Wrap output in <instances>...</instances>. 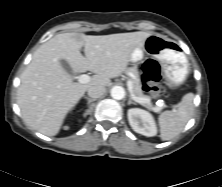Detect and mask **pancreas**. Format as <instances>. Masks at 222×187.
Instances as JSON below:
<instances>
[{
    "label": "pancreas",
    "instance_id": "cf45deb5",
    "mask_svg": "<svg viewBox=\"0 0 222 187\" xmlns=\"http://www.w3.org/2000/svg\"><path fill=\"white\" fill-rule=\"evenodd\" d=\"M128 71L134 75V78L131 79V81L133 83V93H134V95L136 97H139V98L151 100L149 96L143 94L142 86H141V82H140L139 73H138L137 68L133 67V68L128 69ZM141 104L143 106L155 111V112H158L160 110L159 107H154L151 103L150 104L141 103Z\"/></svg>",
    "mask_w": 222,
    "mask_h": 187
}]
</instances>
